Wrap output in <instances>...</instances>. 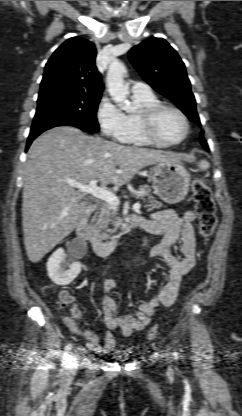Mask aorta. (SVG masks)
<instances>
[{
  "instance_id": "1",
  "label": "aorta",
  "mask_w": 242,
  "mask_h": 416,
  "mask_svg": "<svg viewBox=\"0 0 242 416\" xmlns=\"http://www.w3.org/2000/svg\"><path fill=\"white\" fill-rule=\"evenodd\" d=\"M126 67L118 60L109 65L106 83L112 100L124 111L130 113L135 111V106L127 99L128 87L124 84Z\"/></svg>"
}]
</instances>
